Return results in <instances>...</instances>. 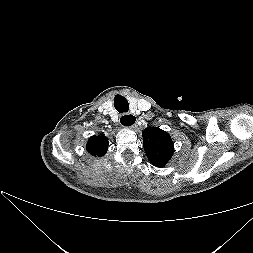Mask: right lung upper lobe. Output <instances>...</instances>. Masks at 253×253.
Segmentation results:
<instances>
[{"label":"right lung upper lobe","instance_id":"1","mask_svg":"<svg viewBox=\"0 0 253 253\" xmlns=\"http://www.w3.org/2000/svg\"><path fill=\"white\" fill-rule=\"evenodd\" d=\"M108 145L107 137L93 136L88 140L86 148L91 155L101 157L106 154Z\"/></svg>","mask_w":253,"mask_h":253}]
</instances>
